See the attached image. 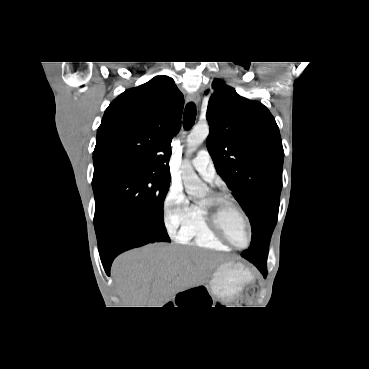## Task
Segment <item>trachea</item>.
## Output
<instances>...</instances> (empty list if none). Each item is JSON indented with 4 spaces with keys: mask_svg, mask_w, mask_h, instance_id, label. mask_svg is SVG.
<instances>
[{
    "mask_svg": "<svg viewBox=\"0 0 369 369\" xmlns=\"http://www.w3.org/2000/svg\"><path fill=\"white\" fill-rule=\"evenodd\" d=\"M196 118V106L193 102L186 105L183 115V126L186 130H189L195 122Z\"/></svg>",
    "mask_w": 369,
    "mask_h": 369,
    "instance_id": "3493384b",
    "label": "trachea"
}]
</instances>
